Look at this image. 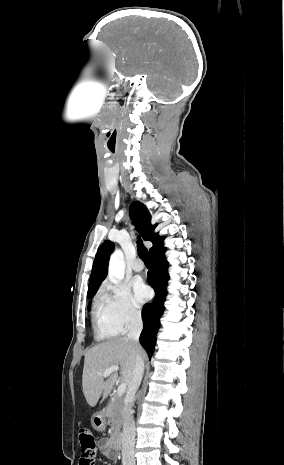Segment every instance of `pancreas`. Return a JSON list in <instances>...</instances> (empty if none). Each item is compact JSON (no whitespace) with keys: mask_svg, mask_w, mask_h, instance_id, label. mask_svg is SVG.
Segmentation results:
<instances>
[{"mask_svg":"<svg viewBox=\"0 0 284 465\" xmlns=\"http://www.w3.org/2000/svg\"><path fill=\"white\" fill-rule=\"evenodd\" d=\"M123 401L119 399L117 395L110 399V403L106 409L105 417L109 419V423H111V441L115 443L117 437L120 435V429L123 423Z\"/></svg>","mask_w":284,"mask_h":465,"instance_id":"obj_1","label":"pancreas"}]
</instances>
